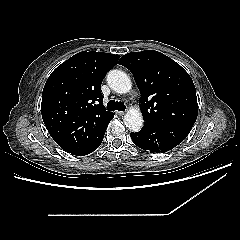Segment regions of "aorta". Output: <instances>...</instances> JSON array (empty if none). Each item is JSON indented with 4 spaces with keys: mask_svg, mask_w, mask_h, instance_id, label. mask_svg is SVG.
Here are the masks:
<instances>
[{
    "mask_svg": "<svg viewBox=\"0 0 240 240\" xmlns=\"http://www.w3.org/2000/svg\"><path fill=\"white\" fill-rule=\"evenodd\" d=\"M107 83L113 91L120 94L129 92L132 87L129 76L121 70H111L107 74ZM143 122L142 113L138 109H129L124 116V123L131 132H138Z\"/></svg>",
    "mask_w": 240,
    "mask_h": 240,
    "instance_id": "762f6f07",
    "label": "aorta"
}]
</instances>
